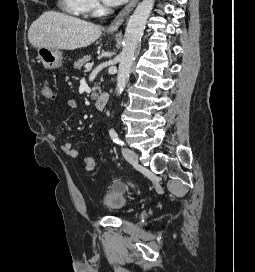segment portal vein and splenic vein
Instances as JSON below:
<instances>
[{
	"label": "portal vein and splenic vein",
	"mask_w": 255,
	"mask_h": 272,
	"mask_svg": "<svg viewBox=\"0 0 255 272\" xmlns=\"http://www.w3.org/2000/svg\"><path fill=\"white\" fill-rule=\"evenodd\" d=\"M85 68H86L87 70H90V69L92 68V64H91V63H87V64L85 65Z\"/></svg>",
	"instance_id": "obj_1"
}]
</instances>
